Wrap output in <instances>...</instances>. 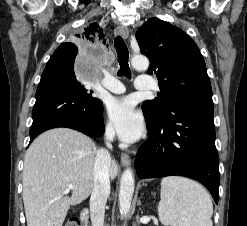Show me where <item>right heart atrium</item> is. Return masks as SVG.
Returning a JSON list of instances; mask_svg holds the SVG:
<instances>
[{
	"mask_svg": "<svg viewBox=\"0 0 247 226\" xmlns=\"http://www.w3.org/2000/svg\"><path fill=\"white\" fill-rule=\"evenodd\" d=\"M104 133L108 138H112L114 136V129L111 123L107 122L104 125Z\"/></svg>",
	"mask_w": 247,
	"mask_h": 226,
	"instance_id": "1",
	"label": "right heart atrium"
}]
</instances>
